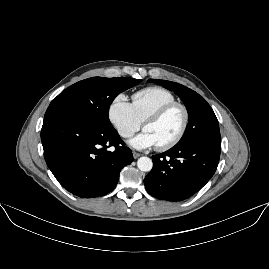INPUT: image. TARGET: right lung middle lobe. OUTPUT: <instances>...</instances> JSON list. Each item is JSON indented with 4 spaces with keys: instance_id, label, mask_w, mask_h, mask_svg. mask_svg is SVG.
I'll return each instance as SVG.
<instances>
[{
    "instance_id": "dd1d6c3e",
    "label": "right lung middle lobe",
    "mask_w": 269,
    "mask_h": 269,
    "mask_svg": "<svg viewBox=\"0 0 269 269\" xmlns=\"http://www.w3.org/2000/svg\"><path fill=\"white\" fill-rule=\"evenodd\" d=\"M141 79L92 77L62 91L49 107L60 108L89 119L99 125L113 127L109 107L121 92L139 84Z\"/></svg>"
}]
</instances>
